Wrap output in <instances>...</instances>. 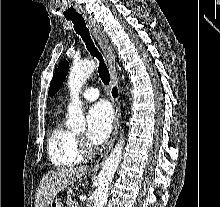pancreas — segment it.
<instances>
[{
  "label": "pancreas",
  "mask_w": 220,
  "mask_h": 207,
  "mask_svg": "<svg viewBox=\"0 0 220 207\" xmlns=\"http://www.w3.org/2000/svg\"><path fill=\"white\" fill-rule=\"evenodd\" d=\"M66 207H73V200L70 195H68V197H67Z\"/></svg>",
  "instance_id": "pancreas-1"
}]
</instances>
